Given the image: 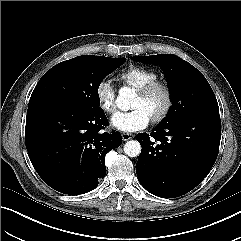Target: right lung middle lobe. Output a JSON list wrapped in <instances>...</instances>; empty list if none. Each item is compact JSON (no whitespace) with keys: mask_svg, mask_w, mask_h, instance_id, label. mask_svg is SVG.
Listing matches in <instances>:
<instances>
[{"mask_svg":"<svg viewBox=\"0 0 241 241\" xmlns=\"http://www.w3.org/2000/svg\"><path fill=\"white\" fill-rule=\"evenodd\" d=\"M126 58L84 55L52 67L39 80L28 109L58 104L90 113L100 110L98 87Z\"/></svg>","mask_w":241,"mask_h":241,"instance_id":"dd1d6c3e","label":"right lung middle lobe"}]
</instances>
